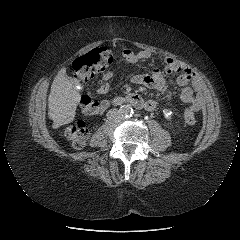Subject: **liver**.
I'll return each instance as SVG.
<instances>
[{"mask_svg":"<svg viewBox=\"0 0 240 240\" xmlns=\"http://www.w3.org/2000/svg\"><path fill=\"white\" fill-rule=\"evenodd\" d=\"M80 98L77 82L66 75V68H62L54 78L48 97V115L53 120V129L74 120Z\"/></svg>","mask_w":240,"mask_h":240,"instance_id":"obj_1","label":"liver"}]
</instances>
